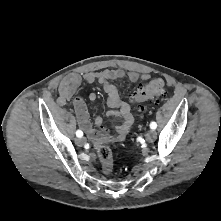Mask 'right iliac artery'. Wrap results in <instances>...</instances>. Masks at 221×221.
I'll return each mask as SVG.
<instances>
[{
    "label": "right iliac artery",
    "mask_w": 221,
    "mask_h": 221,
    "mask_svg": "<svg viewBox=\"0 0 221 221\" xmlns=\"http://www.w3.org/2000/svg\"><path fill=\"white\" fill-rule=\"evenodd\" d=\"M76 136L79 137V138L82 137L83 136V132L81 130H77L76 131Z\"/></svg>",
    "instance_id": "obj_1"
}]
</instances>
